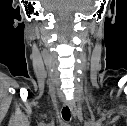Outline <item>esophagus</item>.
<instances>
[{
	"mask_svg": "<svg viewBox=\"0 0 127 126\" xmlns=\"http://www.w3.org/2000/svg\"><path fill=\"white\" fill-rule=\"evenodd\" d=\"M65 104L69 107V109L71 110L73 116H76L77 109H76L75 103L72 102V101H66Z\"/></svg>",
	"mask_w": 127,
	"mask_h": 126,
	"instance_id": "esophagus-1",
	"label": "esophagus"
}]
</instances>
